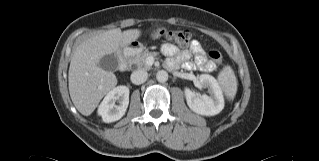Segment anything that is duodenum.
Segmentation results:
<instances>
[{"mask_svg": "<svg viewBox=\"0 0 319 161\" xmlns=\"http://www.w3.org/2000/svg\"><path fill=\"white\" fill-rule=\"evenodd\" d=\"M130 54H129V48H127L125 51H121L118 54V64L119 68L121 70L125 69L129 63Z\"/></svg>", "mask_w": 319, "mask_h": 161, "instance_id": "obj_1", "label": "duodenum"}]
</instances>
